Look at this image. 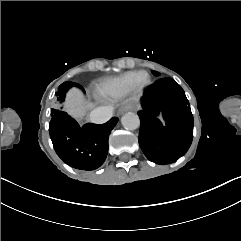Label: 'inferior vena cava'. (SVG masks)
<instances>
[{
	"instance_id": "602c4592",
	"label": "inferior vena cava",
	"mask_w": 241,
	"mask_h": 241,
	"mask_svg": "<svg viewBox=\"0 0 241 241\" xmlns=\"http://www.w3.org/2000/svg\"><path fill=\"white\" fill-rule=\"evenodd\" d=\"M113 116V110L110 107H97L90 113V121L97 124L107 122Z\"/></svg>"
}]
</instances>
